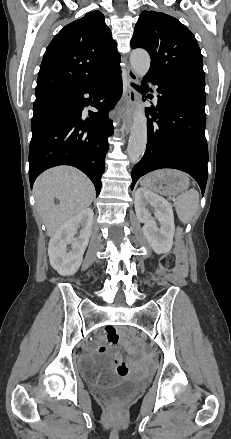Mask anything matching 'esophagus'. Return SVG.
Wrapping results in <instances>:
<instances>
[{
	"mask_svg": "<svg viewBox=\"0 0 231 439\" xmlns=\"http://www.w3.org/2000/svg\"><path fill=\"white\" fill-rule=\"evenodd\" d=\"M137 82V74L129 69L124 80V105L120 111V119L122 121L123 130L128 133L132 124V107L137 100V92L132 83Z\"/></svg>",
	"mask_w": 231,
	"mask_h": 439,
	"instance_id": "34e87169",
	"label": "esophagus"
}]
</instances>
